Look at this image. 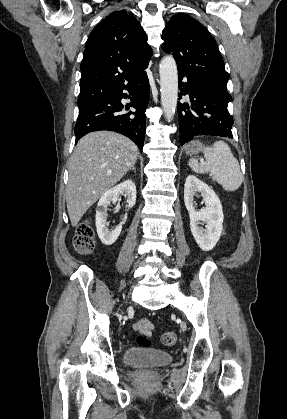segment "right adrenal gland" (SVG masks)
I'll return each mask as SVG.
<instances>
[{"mask_svg": "<svg viewBox=\"0 0 287 419\" xmlns=\"http://www.w3.org/2000/svg\"><path fill=\"white\" fill-rule=\"evenodd\" d=\"M130 170H133L136 173V169L134 166H132V168Z\"/></svg>", "mask_w": 287, "mask_h": 419, "instance_id": "obj_1", "label": "right adrenal gland"}]
</instances>
